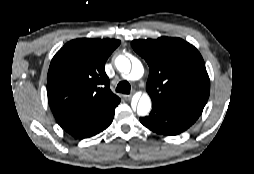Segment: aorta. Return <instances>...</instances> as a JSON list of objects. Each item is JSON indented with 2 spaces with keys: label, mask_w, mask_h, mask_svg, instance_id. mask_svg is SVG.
I'll return each mask as SVG.
<instances>
[{
  "label": "aorta",
  "mask_w": 254,
  "mask_h": 174,
  "mask_svg": "<svg viewBox=\"0 0 254 174\" xmlns=\"http://www.w3.org/2000/svg\"><path fill=\"white\" fill-rule=\"evenodd\" d=\"M115 66L116 68L123 74H129L132 80L140 79L144 74V67L142 63L135 59L132 62V69H131V62L125 56H118L115 59ZM151 110V99L148 94H143L138 102L137 105V114L139 116H146Z\"/></svg>",
  "instance_id": "1"
}]
</instances>
